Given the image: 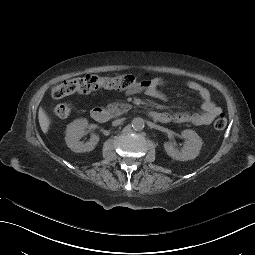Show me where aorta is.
I'll return each mask as SVG.
<instances>
[{
    "label": "aorta",
    "instance_id": "aorta-1",
    "mask_svg": "<svg viewBox=\"0 0 255 255\" xmlns=\"http://www.w3.org/2000/svg\"><path fill=\"white\" fill-rule=\"evenodd\" d=\"M145 126V122L141 117H136L132 120V127L135 130H142Z\"/></svg>",
    "mask_w": 255,
    "mask_h": 255
}]
</instances>
